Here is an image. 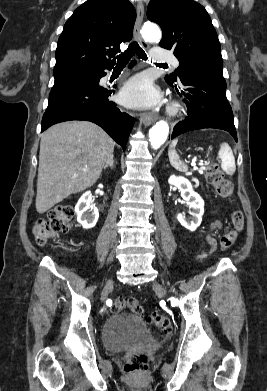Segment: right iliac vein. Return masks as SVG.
<instances>
[{
  "mask_svg": "<svg viewBox=\"0 0 267 391\" xmlns=\"http://www.w3.org/2000/svg\"><path fill=\"white\" fill-rule=\"evenodd\" d=\"M112 286H113V280H112V279H109V280L106 282V284H105V286H104V288H103V290H102L101 299H105V298H106V296H107L109 290L112 288Z\"/></svg>",
  "mask_w": 267,
  "mask_h": 391,
  "instance_id": "1",
  "label": "right iliac vein"
}]
</instances>
